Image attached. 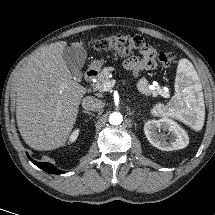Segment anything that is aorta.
Listing matches in <instances>:
<instances>
[{
  "instance_id": "762f6f07",
  "label": "aorta",
  "mask_w": 215,
  "mask_h": 215,
  "mask_svg": "<svg viewBox=\"0 0 215 215\" xmlns=\"http://www.w3.org/2000/svg\"><path fill=\"white\" fill-rule=\"evenodd\" d=\"M122 120H123L122 114L119 112H113L109 116V122L112 125H118L122 122Z\"/></svg>"
}]
</instances>
